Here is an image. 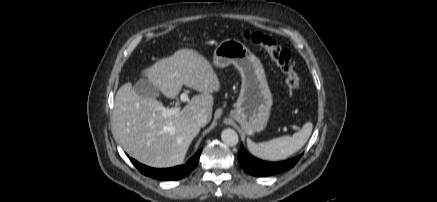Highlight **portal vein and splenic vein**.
<instances>
[{"mask_svg":"<svg viewBox=\"0 0 437 202\" xmlns=\"http://www.w3.org/2000/svg\"><path fill=\"white\" fill-rule=\"evenodd\" d=\"M180 99L183 102L187 101L188 100V94L186 92L182 93L180 95ZM179 111H180V107L179 106H176L174 108H167V109L164 108L162 110V115L163 116H171V115L177 114Z\"/></svg>","mask_w":437,"mask_h":202,"instance_id":"obj_1","label":"portal vein and splenic vein"}]
</instances>
